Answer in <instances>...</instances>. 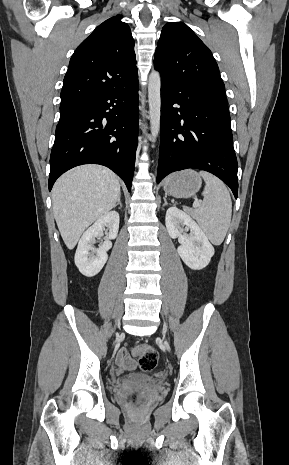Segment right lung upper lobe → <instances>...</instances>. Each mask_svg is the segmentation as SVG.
<instances>
[{
  "mask_svg": "<svg viewBox=\"0 0 289 465\" xmlns=\"http://www.w3.org/2000/svg\"><path fill=\"white\" fill-rule=\"evenodd\" d=\"M117 15L99 25L76 49L61 91V106L119 89L138 76L134 40Z\"/></svg>",
  "mask_w": 289,
  "mask_h": 465,
  "instance_id": "right-lung-upper-lobe-1",
  "label": "right lung upper lobe"
}]
</instances>
